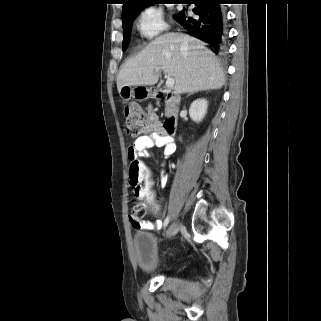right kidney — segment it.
Instances as JSON below:
<instances>
[{
    "label": "right kidney",
    "instance_id": "right-kidney-1",
    "mask_svg": "<svg viewBox=\"0 0 321 321\" xmlns=\"http://www.w3.org/2000/svg\"><path fill=\"white\" fill-rule=\"evenodd\" d=\"M208 101L206 99H197L193 101L189 108L190 118L199 123L203 120L207 113Z\"/></svg>",
    "mask_w": 321,
    "mask_h": 321
}]
</instances>
